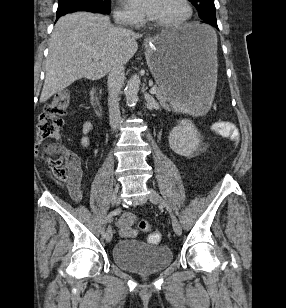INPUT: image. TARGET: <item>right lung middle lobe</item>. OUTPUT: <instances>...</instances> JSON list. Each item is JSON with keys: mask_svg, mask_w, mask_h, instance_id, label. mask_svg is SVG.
Instances as JSON below:
<instances>
[{"mask_svg": "<svg viewBox=\"0 0 286 308\" xmlns=\"http://www.w3.org/2000/svg\"><path fill=\"white\" fill-rule=\"evenodd\" d=\"M111 0H58V10L69 8L94 7L110 10Z\"/></svg>", "mask_w": 286, "mask_h": 308, "instance_id": "obj_1", "label": "right lung middle lobe"}]
</instances>
